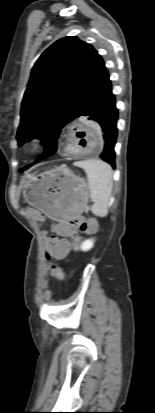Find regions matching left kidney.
I'll return each mask as SVG.
<instances>
[{
	"instance_id": "5707ae66",
	"label": "left kidney",
	"mask_w": 155,
	"mask_h": 413,
	"mask_svg": "<svg viewBox=\"0 0 155 413\" xmlns=\"http://www.w3.org/2000/svg\"><path fill=\"white\" fill-rule=\"evenodd\" d=\"M93 245H94V240L93 239H87L81 244L80 249L82 251H88L93 247Z\"/></svg>"
}]
</instances>
